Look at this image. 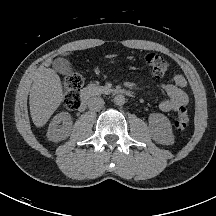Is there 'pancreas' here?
I'll return each instance as SVG.
<instances>
[{
    "label": "pancreas",
    "instance_id": "cf45deb5",
    "mask_svg": "<svg viewBox=\"0 0 216 216\" xmlns=\"http://www.w3.org/2000/svg\"><path fill=\"white\" fill-rule=\"evenodd\" d=\"M88 88L90 89V91L93 95H100L103 93H110L111 92V89H108L104 86H99L97 84H89Z\"/></svg>",
    "mask_w": 216,
    "mask_h": 216
}]
</instances>
